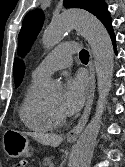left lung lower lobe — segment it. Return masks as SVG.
I'll use <instances>...</instances> for the list:
<instances>
[{"label": "left lung lower lobe", "mask_w": 125, "mask_h": 167, "mask_svg": "<svg viewBox=\"0 0 125 167\" xmlns=\"http://www.w3.org/2000/svg\"><path fill=\"white\" fill-rule=\"evenodd\" d=\"M110 37H111V40L113 42V45H114V48H115V52H116V38H115V35H114V32H113V27H112V22L111 23H108L107 25H105Z\"/></svg>", "instance_id": "left-lung-lower-lobe-1"}]
</instances>
